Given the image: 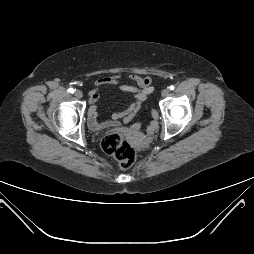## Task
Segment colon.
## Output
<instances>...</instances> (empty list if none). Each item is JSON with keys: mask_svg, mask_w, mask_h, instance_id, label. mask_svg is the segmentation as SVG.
Here are the masks:
<instances>
[{"mask_svg": "<svg viewBox=\"0 0 254 254\" xmlns=\"http://www.w3.org/2000/svg\"><path fill=\"white\" fill-rule=\"evenodd\" d=\"M102 147L114 157L120 169H129L136 158L134 147L128 143L122 131L109 133L102 142Z\"/></svg>", "mask_w": 254, "mask_h": 254, "instance_id": "5ec220e1", "label": "colon"}]
</instances>
